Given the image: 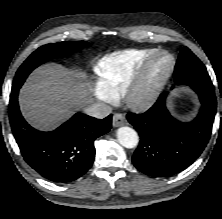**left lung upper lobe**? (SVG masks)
<instances>
[{"label":"left lung upper lobe","instance_id":"left-lung-upper-lobe-1","mask_svg":"<svg viewBox=\"0 0 222 219\" xmlns=\"http://www.w3.org/2000/svg\"><path fill=\"white\" fill-rule=\"evenodd\" d=\"M174 78L176 84L213 88L205 66L187 47H184L180 52L175 66Z\"/></svg>","mask_w":222,"mask_h":219}]
</instances>
